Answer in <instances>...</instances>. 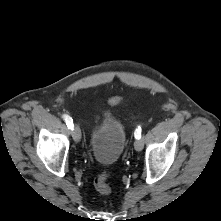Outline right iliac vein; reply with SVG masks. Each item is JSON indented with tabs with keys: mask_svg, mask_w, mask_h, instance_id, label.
<instances>
[{
	"mask_svg": "<svg viewBox=\"0 0 221 221\" xmlns=\"http://www.w3.org/2000/svg\"><path fill=\"white\" fill-rule=\"evenodd\" d=\"M72 137L75 142H79L81 139V131L78 126H75L73 131H72Z\"/></svg>",
	"mask_w": 221,
	"mask_h": 221,
	"instance_id": "63e3f726",
	"label": "right iliac vein"
}]
</instances>
